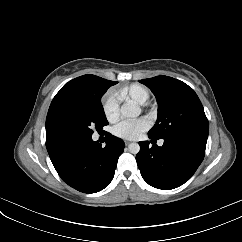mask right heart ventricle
Instances as JSON below:
<instances>
[{
    "label": "right heart ventricle",
    "mask_w": 242,
    "mask_h": 242,
    "mask_svg": "<svg viewBox=\"0 0 242 242\" xmlns=\"http://www.w3.org/2000/svg\"><path fill=\"white\" fill-rule=\"evenodd\" d=\"M118 96L123 100L132 101L138 105L145 104L150 98V92L147 88L140 84H131L118 93Z\"/></svg>",
    "instance_id": "obj_1"
}]
</instances>
